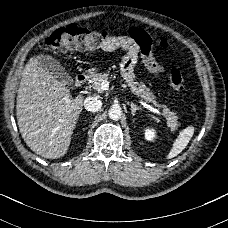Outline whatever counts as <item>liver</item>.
Listing matches in <instances>:
<instances>
[{"instance_id":"liver-1","label":"liver","mask_w":228,"mask_h":228,"mask_svg":"<svg viewBox=\"0 0 228 228\" xmlns=\"http://www.w3.org/2000/svg\"><path fill=\"white\" fill-rule=\"evenodd\" d=\"M38 59L39 56L30 58L22 72L17 122L22 138L33 152L57 159L68 150L84 98H72L63 82L38 65Z\"/></svg>"}]
</instances>
